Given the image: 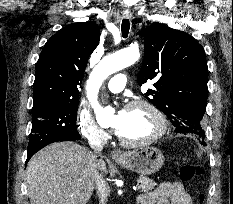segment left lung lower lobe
<instances>
[{
    "instance_id": "obj_1",
    "label": "left lung lower lobe",
    "mask_w": 233,
    "mask_h": 204,
    "mask_svg": "<svg viewBox=\"0 0 233 204\" xmlns=\"http://www.w3.org/2000/svg\"><path fill=\"white\" fill-rule=\"evenodd\" d=\"M203 145H205V142L202 140Z\"/></svg>"
}]
</instances>
